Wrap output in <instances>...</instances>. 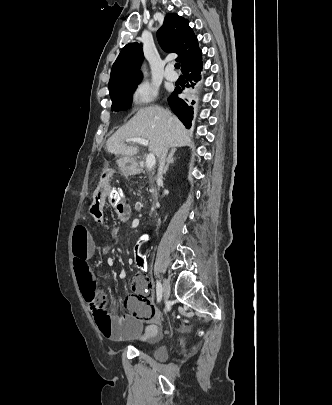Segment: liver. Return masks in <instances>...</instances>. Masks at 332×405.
I'll return each instance as SVG.
<instances>
[{
    "label": "liver",
    "instance_id": "1",
    "mask_svg": "<svg viewBox=\"0 0 332 405\" xmlns=\"http://www.w3.org/2000/svg\"><path fill=\"white\" fill-rule=\"evenodd\" d=\"M144 138L149 141V151L158 158L165 147L179 148L192 143L191 135L179 119L161 107L148 106L136 115L106 142L107 151L120 156H134L139 149L125 144L128 138Z\"/></svg>",
    "mask_w": 332,
    "mask_h": 405
}]
</instances>
